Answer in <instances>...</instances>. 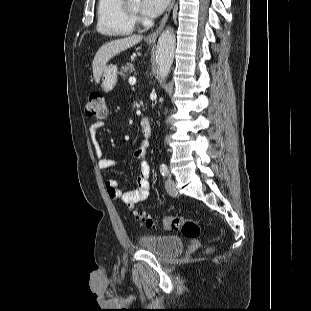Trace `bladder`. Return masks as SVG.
Listing matches in <instances>:
<instances>
[{"instance_id": "obj_1", "label": "bladder", "mask_w": 311, "mask_h": 311, "mask_svg": "<svg viewBox=\"0 0 311 311\" xmlns=\"http://www.w3.org/2000/svg\"><path fill=\"white\" fill-rule=\"evenodd\" d=\"M138 244L142 249L166 258L180 252L184 246V241L176 235L146 234L138 239Z\"/></svg>"}]
</instances>
